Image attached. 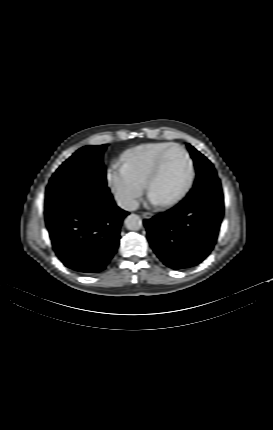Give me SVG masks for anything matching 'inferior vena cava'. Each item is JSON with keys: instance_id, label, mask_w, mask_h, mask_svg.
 I'll use <instances>...</instances> for the list:
<instances>
[{"instance_id": "602c4592", "label": "inferior vena cava", "mask_w": 273, "mask_h": 430, "mask_svg": "<svg viewBox=\"0 0 273 430\" xmlns=\"http://www.w3.org/2000/svg\"><path fill=\"white\" fill-rule=\"evenodd\" d=\"M117 203L118 206L128 211L135 210L138 207V202L132 199H118Z\"/></svg>"}]
</instances>
